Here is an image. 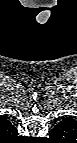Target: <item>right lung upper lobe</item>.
Returning a JSON list of instances; mask_svg holds the SVG:
<instances>
[{
	"instance_id": "obj_1",
	"label": "right lung upper lobe",
	"mask_w": 77,
	"mask_h": 143,
	"mask_svg": "<svg viewBox=\"0 0 77 143\" xmlns=\"http://www.w3.org/2000/svg\"><path fill=\"white\" fill-rule=\"evenodd\" d=\"M0 125L1 129L5 132H8L9 134H15L17 132L16 128L6 118L0 119Z\"/></svg>"
}]
</instances>
